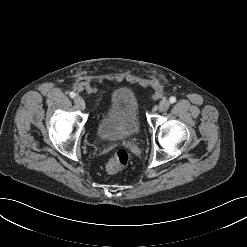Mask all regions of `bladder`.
Returning a JSON list of instances; mask_svg holds the SVG:
<instances>
[{"label":"bladder","instance_id":"1","mask_svg":"<svg viewBox=\"0 0 247 247\" xmlns=\"http://www.w3.org/2000/svg\"><path fill=\"white\" fill-rule=\"evenodd\" d=\"M139 130L138 103L134 93L126 88L117 89L99 120L98 135L106 141H123L136 136Z\"/></svg>","mask_w":247,"mask_h":247}]
</instances>
